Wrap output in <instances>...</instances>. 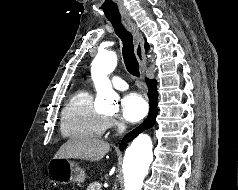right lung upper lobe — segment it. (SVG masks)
<instances>
[{
    "label": "right lung upper lobe",
    "instance_id": "right-lung-upper-lobe-1",
    "mask_svg": "<svg viewBox=\"0 0 238 190\" xmlns=\"http://www.w3.org/2000/svg\"><path fill=\"white\" fill-rule=\"evenodd\" d=\"M149 49V45H148V43L146 42L145 43V50H148Z\"/></svg>",
    "mask_w": 238,
    "mask_h": 190
}]
</instances>
